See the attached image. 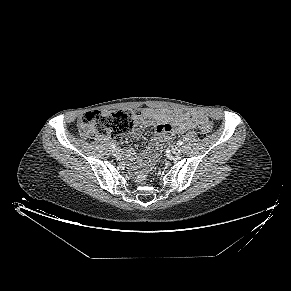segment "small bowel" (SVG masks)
I'll return each instance as SVG.
<instances>
[{
    "mask_svg": "<svg viewBox=\"0 0 291 291\" xmlns=\"http://www.w3.org/2000/svg\"><path fill=\"white\" fill-rule=\"evenodd\" d=\"M204 116L193 111H175L167 109L146 108L142 112L143 126L155 128L157 140L153 141L148 150L142 155H137L132 149L129 157L145 167L156 159L164 146L175 134L184 133L196 127ZM139 133H137L138 135Z\"/></svg>",
    "mask_w": 291,
    "mask_h": 291,
    "instance_id": "c3829d8e",
    "label": "small bowel"
}]
</instances>
